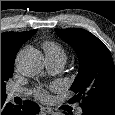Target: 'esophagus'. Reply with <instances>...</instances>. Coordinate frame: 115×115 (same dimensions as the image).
<instances>
[{"mask_svg": "<svg viewBox=\"0 0 115 115\" xmlns=\"http://www.w3.org/2000/svg\"><path fill=\"white\" fill-rule=\"evenodd\" d=\"M41 112L43 113H48V114H52L53 113V110L49 107H41Z\"/></svg>", "mask_w": 115, "mask_h": 115, "instance_id": "esophagus-1", "label": "esophagus"}]
</instances>
